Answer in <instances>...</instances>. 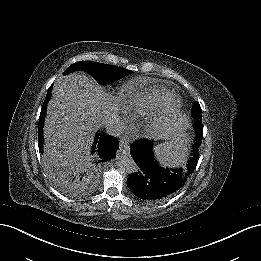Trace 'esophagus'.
<instances>
[{"label": "esophagus", "mask_w": 261, "mask_h": 261, "mask_svg": "<svg viewBox=\"0 0 261 261\" xmlns=\"http://www.w3.org/2000/svg\"><path fill=\"white\" fill-rule=\"evenodd\" d=\"M129 139L127 137H121L119 151L125 155L129 153Z\"/></svg>", "instance_id": "34e87169"}]
</instances>
